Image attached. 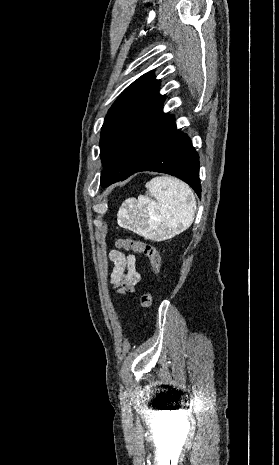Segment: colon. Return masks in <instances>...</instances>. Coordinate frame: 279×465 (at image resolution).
I'll return each instance as SVG.
<instances>
[{
    "instance_id": "1",
    "label": "colon",
    "mask_w": 279,
    "mask_h": 465,
    "mask_svg": "<svg viewBox=\"0 0 279 465\" xmlns=\"http://www.w3.org/2000/svg\"><path fill=\"white\" fill-rule=\"evenodd\" d=\"M116 244L119 248H122L126 251H132L147 257L150 262V271L152 273L157 274L160 271L161 257L157 248L153 244L146 243L132 237L118 239ZM140 304L145 308L149 307L152 304L151 294L144 293L141 295Z\"/></svg>"
}]
</instances>
